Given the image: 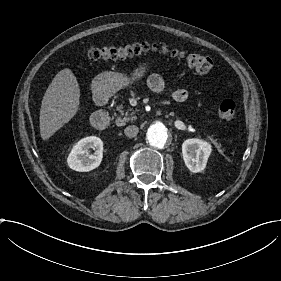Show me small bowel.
Returning <instances> with one entry per match:
<instances>
[{"mask_svg":"<svg viewBox=\"0 0 281 281\" xmlns=\"http://www.w3.org/2000/svg\"><path fill=\"white\" fill-rule=\"evenodd\" d=\"M148 86L156 93H164L166 91V83L158 74H151L148 77ZM168 96L175 102H184L189 97L188 90L184 88L175 89L168 92Z\"/></svg>","mask_w":281,"mask_h":281,"instance_id":"1","label":"small bowel"}]
</instances>
